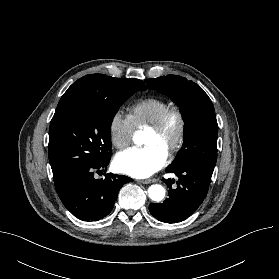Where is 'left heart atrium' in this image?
I'll list each match as a JSON object with an SVG mask.
<instances>
[{
	"mask_svg": "<svg viewBox=\"0 0 279 279\" xmlns=\"http://www.w3.org/2000/svg\"><path fill=\"white\" fill-rule=\"evenodd\" d=\"M167 153L157 146L131 147L117 154L115 167L121 173L135 178H146L161 169Z\"/></svg>",
	"mask_w": 279,
	"mask_h": 279,
	"instance_id": "1",
	"label": "left heart atrium"
}]
</instances>
